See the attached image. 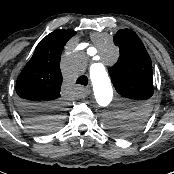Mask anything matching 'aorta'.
I'll return each mask as SVG.
<instances>
[{
    "mask_svg": "<svg viewBox=\"0 0 174 174\" xmlns=\"http://www.w3.org/2000/svg\"><path fill=\"white\" fill-rule=\"evenodd\" d=\"M103 54L112 62L118 57V51L112 42L106 40L103 48ZM90 76L93 82V89L96 102L101 110V117L99 119L103 127H109L113 119L123 118L126 112L123 110L109 111L108 108L112 105L114 100V92L107 76L102 67L94 64L90 70Z\"/></svg>",
    "mask_w": 174,
    "mask_h": 174,
    "instance_id": "762f6f07",
    "label": "aorta"
}]
</instances>
